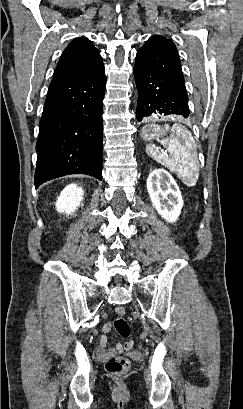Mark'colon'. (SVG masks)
Masks as SVG:
<instances>
[{
  "label": "colon",
  "instance_id": "1",
  "mask_svg": "<svg viewBox=\"0 0 243 409\" xmlns=\"http://www.w3.org/2000/svg\"><path fill=\"white\" fill-rule=\"evenodd\" d=\"M116 318L113 321V327L118 336L123 339H128L131 333L130 325L125 318V309L122 306H117L114 310ZM126 345L130 346L131 342L128 341ZM130 367V361L123 356H113L109 358L105 364L107 372L113 375H121Z\"/></svg>",
  "mask_w": 243,
  "mask_h": 409
}]
</instances>
